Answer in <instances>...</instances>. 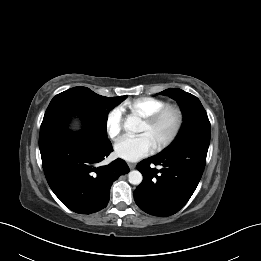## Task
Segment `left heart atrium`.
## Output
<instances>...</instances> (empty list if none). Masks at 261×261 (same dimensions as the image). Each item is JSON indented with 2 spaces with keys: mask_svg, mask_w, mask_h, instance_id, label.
Here are the masks:
<instances>
[{
  "mask_svg": "<svg viewBox=\"0 0 261 261\" xmlns=\"http://www.w3.org/2000/svg\"><path fill=\"white\" fill-rule=\"evenodd\" d=\"M154 146L146 134H125L120 137L115 145L118 157L127 161H137L152 152Z\"/></svg>",
  "mask_w": 261,
  "mask_h": 261,
  "instance_id": "left-heart-atrium-1",
  "label": "left heart atrium"
}]
</instances>
